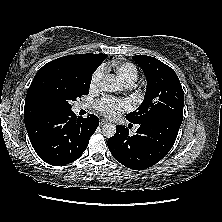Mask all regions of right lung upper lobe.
Listing matches in <instances>:
<instances>
[{
	"label": "right lung upper lobe",
	"mask_w": 222,
	"mask_h": 222,
	"mask_svg": "<svg viewBox=\"0 0 222 222\" xmlns=\"http://www.w3.org/2000/svg\"><path fill=\"white\" fill-rule=\"evenodd\" d=\"M107 58V55L97 54H76L60 57L55 59L46 65H44L36 73L30 87L28 88L25 106H24V121L25 124L50 113L53 111L42 103L36 96V89L44 81L46 71L49 66L53 64H64L75 68L90 69L95 71L98 66Z\"/></svg>",
	"instance_id": "obj_1"
}]
</instances>
